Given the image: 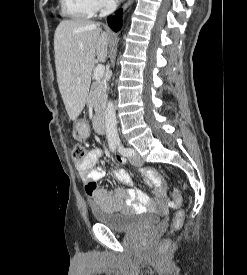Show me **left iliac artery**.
<instances>
[{"label":"left iliac artery","instance_id":"obj_1","mask_svg":"<svg viewBox=\"0 0 247 275\" xmlns=\"http://www.w3.org/2000/svg\"><path fill=\"white\" fill-rule=\"evenodd\" d=\"M116 144L118 145V150L122 155L126 157H131L133 155V150L131 148H124L120 142V139L116 140Z\"/></svg>","mask_w":247,"mask_h":275}]
</instances>
